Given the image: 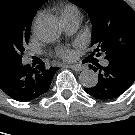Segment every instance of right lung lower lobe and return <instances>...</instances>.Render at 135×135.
<instances>
[{"mask_svg":"<svg viewBox=\"0 0 135 135\" xmlns=\"http://www.w3.org/2000/svg\"><path fill=\"white\" fill-rule=\"evenodd\" d=\"M58 67L23 65L7 57H0V89L14 100L27 102L38 98L49 90Z\"/></svg>","mask_w":135,"mask_h":135,"instance_id":"right-lung-lower-lobe-1","label":"right lung lower lobe"}]
</instances>
